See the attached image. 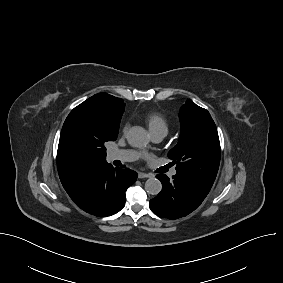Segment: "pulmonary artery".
<instances>
[{"instance_id": "e3ab8cb5", "label": "pulmonary artery", "mask_w": 283, "mask_h": 283, "mask_svg": "<svg viewBox=\"0 0 283 283\" xmlns=\"http://www.w3.org/2000/svg\"><path fill=\"white\" fill-rule=\"evenodd\" d=\"M165 136H166L165 132L152 133V137L156 142H160L161 140H163ZM138 158H139V153L133 150H115V151H111L108 154V159L110 161L119 160L122 162H131L137 160ZM174 175H176V170H173L171 172V176Z\"/></svg>"}]
</instances>
